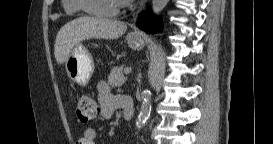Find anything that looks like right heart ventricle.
Returning a JSON list of instances; mask_svg holds the SVG:
<instances>
[{
    "label": "right heart ventricle",
    "mask_w": 273,
    "mask_h": 144,
    "mask_svg": "<svg viewBox=\"0 0 273 144\" xmlns=\"http://www.w3.org/2000/svg\"><path fill=\"white\" fill-rule=\"evenodd\" d=\"M62 6L65 13L70 15H76L81 11L78 7L77 0H63Z\"/></svg>",
    "instance_id": "obj_1"
}]
</instances>
